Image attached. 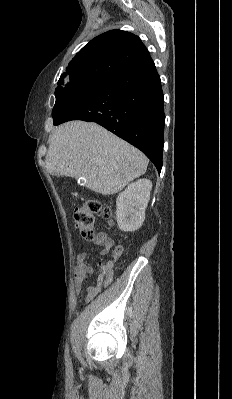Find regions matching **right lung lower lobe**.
<instances>
[{
    "label": "right lung lower lobe",
    "instance_id": "obj_1",
    "mask_svg": "<svg viewBox=\"0 0 232 399\" xmlns=\"http://www.w3.org/2000/svg\"><path fill=\"white\" fill-rule=\"evenodd\" d=\"M164 97L151 57L107 78L76 101L67 102L54 125L70 120L96 122L140 149L162 168Z\"/></svg>",
    "mask_w": 232,
    "mask_h": 399
}]
</instances>
